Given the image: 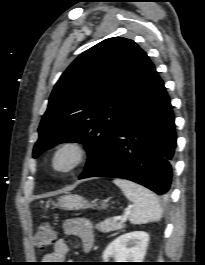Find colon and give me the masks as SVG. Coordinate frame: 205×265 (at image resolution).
Returning <instances> with one entry per match:
<instances>
[{
  "mask_svg": "<svg viewBox=\"0 0 205 265\" xmlns=\"http://www.w3.org/2000/svg\"><path fill=\"white\" fill-rule=\"evenodd\" d=\"M35 245L42 250H45L55 243V233L49 224H41L34 236Z\"/></svg>",
  "mask_w": 205,
  "mask_h": 265,
  "instance_id": "5ec220e1",
  "label": "colon"
}]
</instances>
